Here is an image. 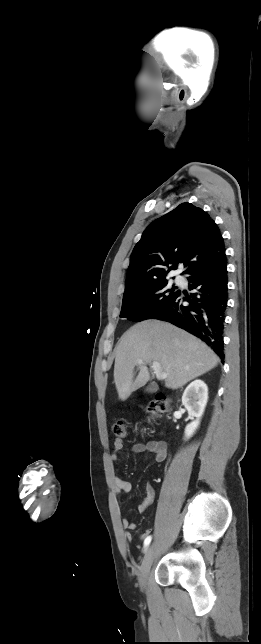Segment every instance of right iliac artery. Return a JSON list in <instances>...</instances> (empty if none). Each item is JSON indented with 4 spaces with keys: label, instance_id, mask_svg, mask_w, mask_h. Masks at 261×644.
Listing matches in <instances>:
<instances>
[{
    "label": "right iliac artery",
    "instance_id": "right-iliac-artery-1",
    "mask_svg": "<svg viewBox=\"0 0 261 644\" xmlns=\"http://www.w3.org/2000/svg\"><path fill=\"white\" fill-rule=\"evenodd\" d=\"M151 540H152V537H151V536H148V537L144 540V547H145V548L150 544Z\"/></svg>",
    "mask_w": 261,
    "mask_h": 644
}]
</instances>
